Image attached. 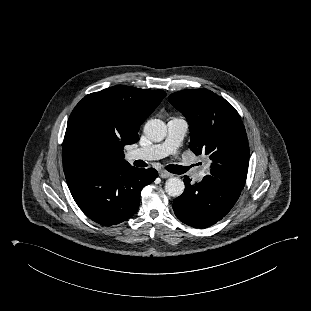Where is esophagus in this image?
<instances>
[{"label": "esophagus", "mask_w": 311, "mask_h": 311, "mask_svg": "<svg viewBox=\"0 0 311 311\" xmlns=\"http://www.w3.org/2000/svg\"><path fill=\"white\" fill-rule=\"evenodd\" d=\"M159 176H160L161 178H169V177L172 176V174L169 173V172H167V171L160 170V171H159Z\"/></svg>", "instance_id": "1"}]
</instances>
